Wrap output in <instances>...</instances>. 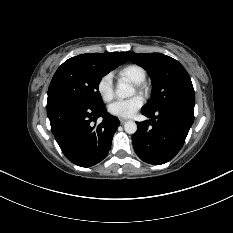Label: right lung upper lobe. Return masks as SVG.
I'll return each mask as SVG.
<instances>
[{
    "label": "right lung upper lobe",
    "mask_w": 233,
    "mask_h": 233,
    "mask_svg": "<svg viewBox=\"0 0 233 233\" xmlns=\"http://www.w3.org/2000/svg\"><path fill=\"white\" fill-rule=\"evenodd\" d=\"M124 52H112V53H91V54H85L87 56L93 57V58H97V59H105V60H109L112 62H122L124 63L126 61V58L124 56Z\"/></svg>",
    "instance_id": "right-lung-upper-lobe-1"
}]
</instances>
